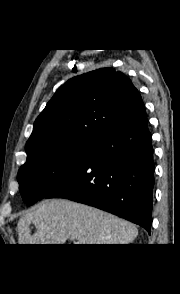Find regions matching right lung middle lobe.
I'll list each match as a JSON object with an SVG mask.
<instances>
[{
  "mask_svg": "<svg viewBox=\"0 0 180 294\" xmlns=\"http://www.w3.org/2000/svg\"><path fill=\"white\" fill-rule=\"evenodd\" d=\"M96 141L74 140L39 150L27 158L17 180L24 202L32 205L46 198L84 162Z\"/></svg>",
  "mask_w": 180,
  "mask_h": 294,
  "instance_id": "dd1d6c3e",
  "label": "right lung middle lobe"
}]
</instances>
